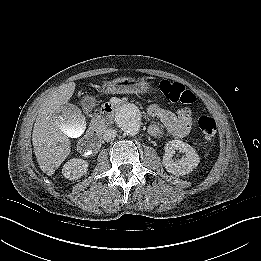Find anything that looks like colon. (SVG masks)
Segmentation results:
<instances>
[{
  "mask_svg": "<svg viewBox=\"0 0 261 261\" xmlns=\"http://www.w3.org/2000/svg\"><path fill=\"white\" fill-rule=\"evenodd\" d=\"M159 92L172 103L193 104L195 95L184 85L178 82L162 80L159 83ZM108 105H105V108ZM198 125L202 131L206 146H210L216 136L217 125L215 120L209 116H201L198 119Z\"/></svg>",
  "mask_w": 261,
  "mask_h": 261,
  "instance_id": "1",
  "label": "colon"
}]
</instances>
